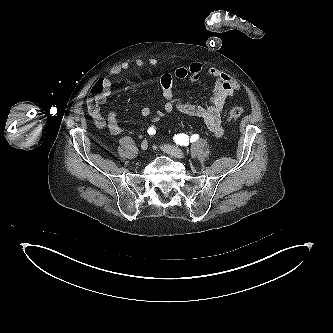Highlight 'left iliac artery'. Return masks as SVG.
I'll use <instances>...</instances> for the list:
<instances>
[{
  "label": "left iliac artery",
  "mask_w": 333,
  "mask_h": 333,
  "mask_svg": "<svg viewBox=\"0 0 333 333\" xmlns=\"http://www.w3.org/2000/svg\"><path fill=\"white\" fill-rule=\"evenodd\" d=\"M199 138L198 134H194L191 137H189L186 134H176L174 136V141L176 144L181 145V146H187L189 142H195Z\"/></svg>",
  "instance_id": "1"
}]
</instances>
